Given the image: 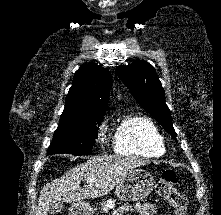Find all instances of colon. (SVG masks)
Here are the masks:
<instances>
[{"instance_id": "5ec220e1", "label": "colon", "mask_w": 221, "mask_h": 215, "mask_svg": "<svg viewBox=\"0 0 221 215\" xmlns=\"http://www.w3.org/2000/svg\"><path fill=\"white\" fill-rule=\"evenodd\" d=\"M179 177L173 170H166L162 173L157 182L156 191L172 206L175 215L187 214V199L178 189Z\"/></svg>"}]
</instances>
